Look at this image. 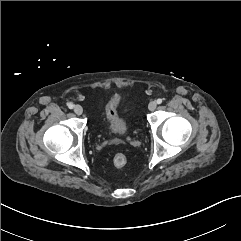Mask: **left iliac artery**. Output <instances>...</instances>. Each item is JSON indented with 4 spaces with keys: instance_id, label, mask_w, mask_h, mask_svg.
Masks as SVG:
<instances>
[{
    "instance_id": "1",
    "label": "left iliac artery",
    "mask_w": 241,
    "mask_h": 241,
    "mask_svg": "<svg viewBox=\"0 0 241 241\" xmlns=\"http://www.w3.org/2000/svg\"><path fill=\"white\" fill-rule=\"evenodd\" d=\"M157 104H161L162 103V99L161 98H159V99H157Z\"/></svg>"
}]
</instances>
